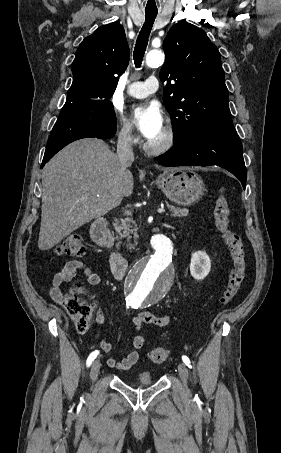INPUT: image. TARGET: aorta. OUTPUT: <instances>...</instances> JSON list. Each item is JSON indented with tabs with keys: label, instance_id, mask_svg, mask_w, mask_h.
Segmentation results:
<instances>
[{
	"label": "aorta",
	"instance_id": "obj_1",
	"mask_svg": "<svg viewBox=\"0 0 281 453\" xmlns=\"http://www.w3.org/2000/svg\"><path fill=\"white\" fill-rule=\"evenodd\" d=\"M165 56L162 51L153 50L146 56V65H162ZM155 253L139 261L126 278L127 301L133 306H150L161 301L169 292L174 279L171 266L173 245L162 234L151 239Z\"/></svg>",
	"mask_w": 281,
	"mask_h": 453
}]
</instances>
